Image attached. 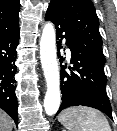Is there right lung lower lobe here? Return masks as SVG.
I'll list each match as a JSON object with an SVG mask.
<instances>
[{
	"label": "right lung lower lobe",
	"instance_id": "98d812e1",
	"mask_svg": "<svg viewBox=\"0 0 117 131\" xmlns=\"http://www.w3.org/2000/svg\"><path fill=\"white\" fill-rule=\"evenodd\" d=\"M19 43V30L0 39V108L6 111L18 125L17 98L15 94L17 68L16 47Z\"/></svg>",
	"mask_w": 117,
	"mask_h": 131
}]
</instances>
